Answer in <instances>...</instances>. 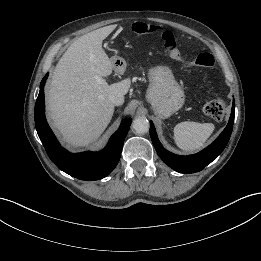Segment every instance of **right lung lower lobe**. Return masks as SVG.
Segmentation results:
<instances>
[{
	"label": "right lung lower lobe",
	"instance_id": "obj_1",
	"mask_svg": "<svg viewBox=\"0 0 261 261\" xmlns=\"http://www.w3.org/2000/svg\"><path fill=\"white\" fill-rule=\"evenodd\" d=\"M47 76L40 84V92L35 105V126L49 158L59 169L75 178L89 181L106 177L118 164L132 119L122 121L119 129L112 135L102 151L69 153L60 146L45 118L44 84Z\"/></svg>",
	"mask_w": 261,
	"mask_h": 261
}]
</instances>
